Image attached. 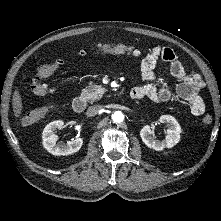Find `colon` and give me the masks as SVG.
<instances>
[{"label":"colon","mask_w":221,"mask_h":221,"mask_svg":"<svg viewBox=\"0 0 221 221\" xmlns=\"http://www.w3.org/2000/svg\"><path fill=\"white\" fill-rule=\"evenodd\" d=\"M95 49L97 51L105 52H116V53H125L128 54L133 50V46L124 44V43H99L95 46ZM86 50L82 49L80 51V54H85ZM61 60H53L48 63H45L42 65L34 75V77L31 79L30 82V90L40 96L48 95L53 93V90L48 88L43 81L47 78H49L55 70L59 67L61 64ZM51 106H43L37 110H34L28 114H26L22 120L21 123L23 126H29L32 125L39 120H41L49 111ZM213 118L211 115L207 114L202 119V125L204 128H209L212 124Z\"/></svg>","instance_id":"1"}]
</instances>
